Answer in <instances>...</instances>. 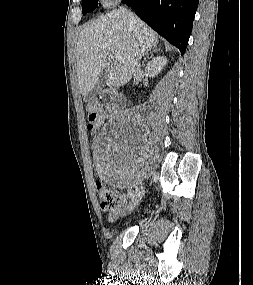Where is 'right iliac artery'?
I'll use <instances>...</instances> for the list:
<instances>
[{"label":"right iliac artery","instance_id":"right-iliac-artery-1","mask_svg":"<svg viewBox=\"0 0 253 285\" xmlns=\"http://www.w3.org/2000/svg\"><path fill=\"white\" fill-rule=\"evenodd\" d=\"M132 195H133L132 191H129L128 194H127V197H128V198H131Z\"/></svg>","mask_w":253,"mask_h":285}]
</instances>
